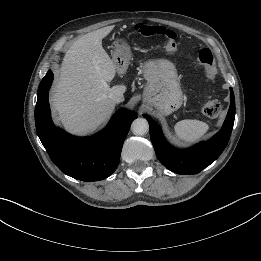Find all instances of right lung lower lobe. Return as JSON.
<instances>
[{"instance_id":"98d812e1","label":"right lung lower lobe","mask_w":261,"mask_h":261,"mask_svg":"<svg viewBox=\"0 0 261 261\" xmlns=\"http://www.w3.org/2000/svg\"><path fill=\"white\" fill-rule=\"evenodd\" d=\"M53 80L49 70L42 79L35 108L37 134L51 160L66 175L82 181H99L117 168L123 142L137 114L119 110L98 135L76 137L57 128L50 115L48 91Z\"/></svg>"}]
</instances>
